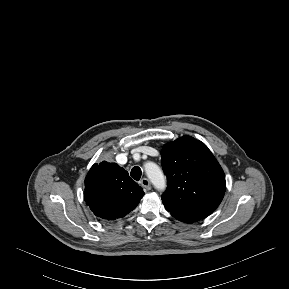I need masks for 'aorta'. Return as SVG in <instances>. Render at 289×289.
Here are the masks:
<instances>
[{
    "label": "aorta",
    "instance_id": "aorta-1",
    "mask_svg": "<svg viewBox=\"0 0 289 289\" xmlns=\"http://www.w3.org/2000/svg\"><path fill=\"white\" fill-rule=\"evenodd\" d=\"M145 171H146L148 178L150 179V181L152 182V184L154 185L156 189L158 190L165 189L166 180H165L162 170L159 168L158 165L152 162L147 163L145 165Z\"/></svg>",
    "mask_w": 289,
    "mask_h": 289
}]
</instances>
